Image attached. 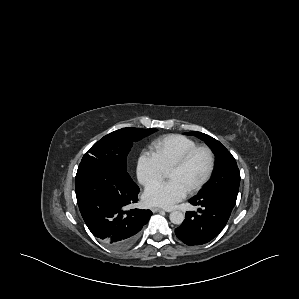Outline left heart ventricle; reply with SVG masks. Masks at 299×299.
Returning a JSON list of instances; mask_svg holds the SVG:
<instances>
[{
	"mask_svg": "<svg viewBox=\"0 0 299 299\" xmlns=\"http://www.w3.org/2000/svg\"><path fill=\"white\" fill-rule=\"evenodd\" d=\"M208 167V154L206 151L200 150L192 156L183 168L169 172L168 178L179 182L188 191L205 176Z\"/></svg>",
	"mask_w": 299,
	"mask_h": 299,
	"instance_id": "obj_1",
	"label": "left heart ventricle"
}]
</instances>
